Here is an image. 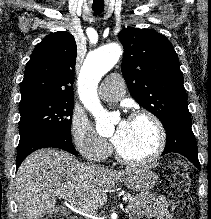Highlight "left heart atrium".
<instances>
[{"label": "left heart atrium", "mask_w": 211, "mask_h": 219, "mask_svg": "<svg viewBox=\"0 0 211 219\" xmlns=\"http://www.w3.org/2000/svg\"><path fill=\"white\" fill-rule=\"evenodd\" d=\"M128 126H129V121L126 120L121 121L120 124L118 125L112 137V142L116 147H118L121 144L124 136L128 131Z\"/></svg>", "instance_id": "1"}]
</instances>
